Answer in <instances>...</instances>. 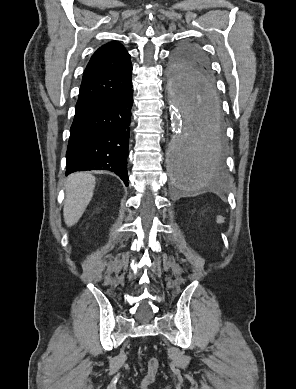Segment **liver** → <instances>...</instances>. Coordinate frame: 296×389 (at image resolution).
<instances>
[{"label":"liver","mask_w":296,"mask_h":389,"mask_svg":"<svg viewBox=\"0 0 296 389\" xmlns=\"http://www.w3.org/2000/svg\"><path fill=\"white\" fill-rule=\"evenodd\" d=\"M95 177L90 173H73L65 183L63 216L67 226L76 224L93 197Z\"/></svg>","instance_id":"liver-1"}]
</instances>
